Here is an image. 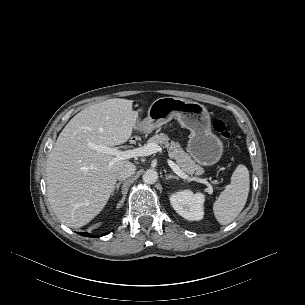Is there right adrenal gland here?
I'll return each instance as SVG.
<instances>
[{
    "label": "right adrenal gland",
    "mask_w": 305,
    "mask_h": 305,
    "mask_svg": "<svg viewBox=\"0 0 305 305\" xmlns=\"http://www.w3.org/2000/svg\"><path fill=\"white\" fill-rule=\"evenodd\" d=\"M123 183V181H119L118 183H116V185L114 186V189H113V191H112V196H114V193H118V191H119V187H120V185Z\"/></svg>",
    "instance_id": "2a0ac1e0"
}]
</instances>
